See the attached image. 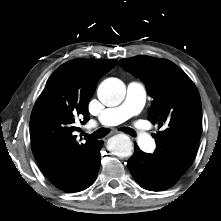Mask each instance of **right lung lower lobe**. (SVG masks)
<instances>
[{
  "mask_svg": "<svg viewBox=\"0 0 221 221\" xmlns=\"http://www.w3.org/2000/svg\"><path fill=\"white\" fill-rule=\"evenodd\" d=\"M103 141H97L87 159L82 171L72 184L65 187V192H78L91 186L96 180V176L100 167L101 153Z\"/></svg>",
  "mask_w": 221,
  "mask_h": 221,
  "instance_id": "1",
  "label": "right lung lower lobe"
}]
</instances>
